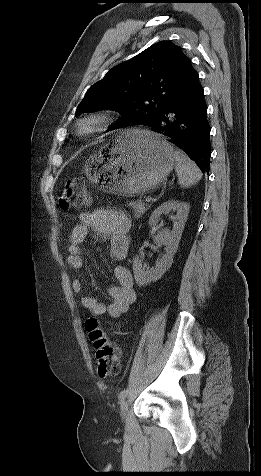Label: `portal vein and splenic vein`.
<instances>
[{
    "mask_svg": "<svg viewBox=\"0 0 261 476\" xmlns=\"http://www.w3.org/2000/svg\"><path fill=\"white\" fill-rule=\"evenodd\" d=\"M145 201H146V202H151V201H152V197H151L150 195L147 196L146 199H145Z\"/></svg>",
    "mask_w": 261,
    "mask_h": 476,
    "instance_id": "18ae733b",
    "label": "portal vein and splenic vein"
}]
</instances>
